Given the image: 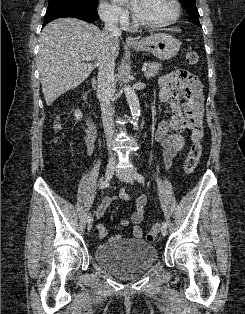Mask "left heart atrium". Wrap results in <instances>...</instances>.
Returning a JSON list of instances; mask_svg holds the SVG:
<instances>
[{
    "mask_svg": "<svg viewBox=\"0 0 245 314\" xmlns=\"http://www.w3.org/2000/svg\"><path fill=\"white\" fill-rule=\"evenodd\" d=\"M119 4H128L132 9L136 10L140 0H115Z\"/></svg>",
    "mask_w": 245,
    "mask_h": 314,
    "instance_id": "39dd6f15",
    "label": "left heart atrium"
}]
</instances>
